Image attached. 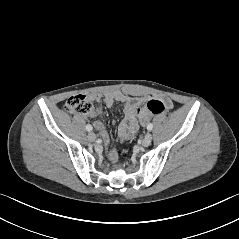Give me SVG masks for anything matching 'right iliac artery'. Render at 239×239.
<instances>
[{
	"mask_svg": "<svg viewBox=\"0 0 239 239\" xmlns=\"http://www.w3.org/2000/svg\"><path fill=\"white\" fill-rule=\"evenodd\" d=\"M92 129H93V128H92V126H91V125H89V124H88V125H86V130H87V131H92Z\"/></svg>",
	"mask_w": 239,
	"mask_h": 239,
	"instance_id": "82829eb1",
	"label": "right iliac artery"
}]
</instances>
